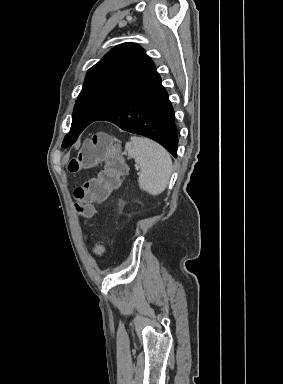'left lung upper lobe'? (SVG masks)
Instances as JSON below:
<instances>
[{
    "mask_svg": "<svg viewBox=\"0 0 283 384\" xmlns=\"http://www.w3.org/2000/svg\"><path fill=\"white\" fill-rule=\"evenodd\" d=\"M153 72L154 63L138 44L127 42L113 48L88 70L62 147L72 145L90 123L122 101Z\"/></svg>",
    "mask_w": 283,
    "mask_h": 384,
    "instance_id": "obj_1",
    "label": "left lung upper lobe"
}]
</instances>
